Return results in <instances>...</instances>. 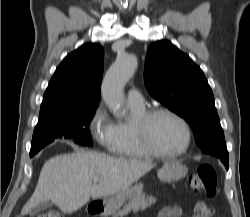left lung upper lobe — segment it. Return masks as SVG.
<instances>
[{
  "label": "left lung upper lobe",
  "instance_id": "5c2ea615",
  "mask_svg": "<svg viewBox=\"0 0 250 217\" xmlns=\"http://www.w3.org/2000/svg\"><path fill=\"white\" fill-rule=\"evenodd\" d=\"M144 79L153 98L190 124L200 149L225 141L211 88L187 54L167 40L152 43Z\"/></svg>",
  "mask_w": 250,
  "mask_h": 217
}]
</instances>
